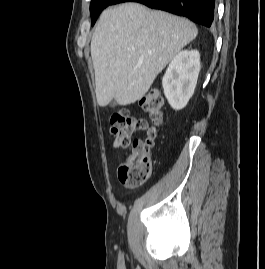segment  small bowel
Returning <instances> with one entry per match:
<instances>
[{"mask_svg": "<svg viewBox=\"0 0 265 269\" xmlns=\"http://www.w3.org/2000/svg\"><path fill=\"white\" fill-rule=\"evenodd\" d=\"M144 122H145V121H144ZM145 125H146V127H147V123H146V122H145ZM113 148H115V149L119 148V147H118V143H117L116 140L113 142Z\"/></svg>", "mask_w": 265, "mask_h": 269, "instance_id": "c3829d8e", "label": "small bowel"}]
</instances>
